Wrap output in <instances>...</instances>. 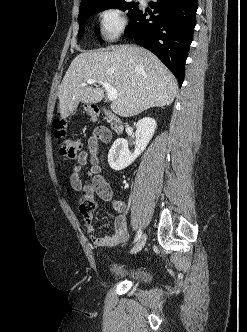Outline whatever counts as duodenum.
<instances>
[{
  "instance_id": "obj_1",
  "label": "duodenum",
  "mask_w": 247,
  "mask_h": 332,
  "mask_svg": "<svg viewBox=\"0 0 247 332\" xmlns=\"http://www.w3.org/2000/svg\"><path fill=\"white\" fill-rule=\"evenodd\" d=\"M105 113L108 117L110 127L112 131L116 134H120L123 131V123L119 117L115 114L111 113L110 111L105 110Z\"/></svg>"
}]
</instances>
